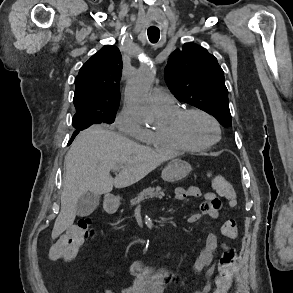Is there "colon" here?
Masks as SVG:
<instances>
[{
	"label": "colon",
	"mask_w": 293,
	"mask_h": 293,
	"mask_svg": "<svg viewBox=\"0 0 293 293\" xmlns=\"http://www.w3.org/2000/svg\"><path fill=\"white\" fill-rule=\"evenodd\" d=\"M212 187L224 197L230 205L237 204L238 195L233 184L224 176L209 174ZM222 233L228 238H236L237 224L234 220L226 221L222 226ZM94 234L92 220L88 217L80 218L72 225L51 247L50 258L53 260H72L78 247ZM236 271V251L233 248L225 250L218 262V274L215 278V288L212 293H228Z\"/></svg>",
	"instance_id": "colon-1"
}]
</instances>
